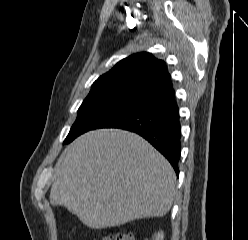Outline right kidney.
<instances>
[{
	"instance_id": "ca27d5eb",
	"label": "right kidney",
	"mask_w": 248,
	"mask_h": 240,
	"mask_svg": "<svg viewBox=\"0 0 248 240\" xmlns=\"http://www.w3.org/2000/svg\"><path fill=\"white\" fill-rule=\"evenodd\" d=\"M164 239V233L163 231L158 232L157 234L154 235L153 240H163Z\"/></svg>"
}]
</instances>
